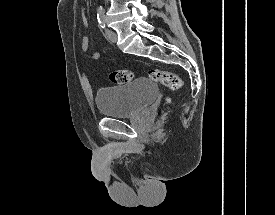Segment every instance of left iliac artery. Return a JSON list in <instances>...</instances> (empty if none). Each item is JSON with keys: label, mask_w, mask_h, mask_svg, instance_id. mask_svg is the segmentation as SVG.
Masks as SVG:
<instances>
[{"label": "left iliac artery", "mask_w": 275, "mask_h": 215, "mask_svg": "<svg viewBox=\"0 0 275 215\" xmlns=\"http://www.w3.org/2000/svg\"><path fill=\"white\" fill-rule=\"evenodd\" d=\"M97 20H98L100 27L104 29L105 28V14H104V10L102 9V7H100L98 9Z\"/></svg>", "instance_id": "44dca946"}]
</instances>
